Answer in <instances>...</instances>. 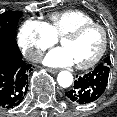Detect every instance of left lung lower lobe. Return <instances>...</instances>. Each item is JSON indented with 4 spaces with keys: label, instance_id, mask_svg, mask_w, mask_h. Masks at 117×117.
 I'll list each match as a JSON object with an SVG mask.
<instances>
[{
    "label": "left lung lower lobe",
    "instance_id": "1",
    "mask_svg": "<svg viewBox=\"0 0 117 117\" xmlns=\"http://www.w3.org/2000/svg\"><path fill=\"white\" fill-rule=\"evenodd\" d=\"M110 75V66L99 64L93 71L75 80L72 88L65 93L69 101L77 104L94 102L104 93Z\"/></svg>",
    "mask_w": 117,
    "mask_h": 117
}]
</instances>
